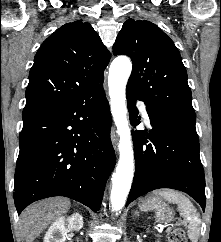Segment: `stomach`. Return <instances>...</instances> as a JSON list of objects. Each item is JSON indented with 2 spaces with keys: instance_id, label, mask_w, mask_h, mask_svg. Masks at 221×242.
I'll list each match as a JSON object with an SVG mask.
<instances>
[{
  "instance_id": "1",
  "label": "stomach",
  "mask_w": 221,
  "mask_h": 242,
  "mask_svg": "<svg viewBox=\"0 0 221 242\" xmlns=\"http://www.w3.org/2000/svg\"><path fill=\"white\" fill-rule=\"evenodd\" d=\"M139 209L144 212L156 211V218L161 222H169L173 219V210L158 196L142 199Z\"/></svg>"
}]
</instances>
